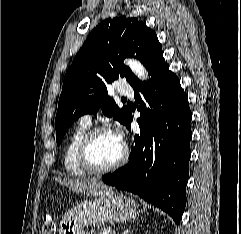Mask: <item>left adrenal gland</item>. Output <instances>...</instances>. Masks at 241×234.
<instances>
[{
  "mask_svg": "<svg viewBox=\"0 0 241 234\" xmlns=\"http://www.w3.org/2000/svg\"><path fill=\"white\" fill-rule=\"evenodd\" d=\"M129 232V229H126L122 234H128Z\"/></svg>",
  "mask_w": 241,
  "mask_h": 234,
  "instance_id": "obj_1",
  "label": "left adrenal gland"
}]
</instances>
